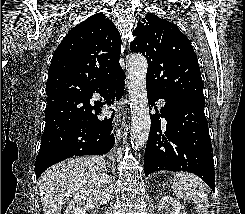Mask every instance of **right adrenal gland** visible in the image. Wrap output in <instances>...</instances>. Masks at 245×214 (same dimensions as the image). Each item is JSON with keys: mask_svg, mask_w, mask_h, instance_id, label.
I'll use <instances>...</instances> for the list:
<instances>
[{"mask_svg": "<svg viewBox=\"0 0 245 214\" xmlns=\"http://www.w3.org/2000/svg\"><path fill=\"white\" fill-rule=\"evenodd\" d=\"M106 165H107L108 167H110V165H109V163H108V162L106 163Z\"/></svg>", "mask_w": 245, "mask_h": 214, "instance_id": "obj_1", "label": "right adrenal gland"}]
</instances>
